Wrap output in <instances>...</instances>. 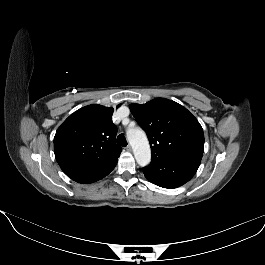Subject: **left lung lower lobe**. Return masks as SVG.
<instances>
[{"instance_id":"left-lung-lower-lobe-1","label":"left lung lower lobe","mask_w":265,"mask_h":265,"mask_svg":"<svg viewBox=\"0 0 265 265\" xmlns=\"http://www.w3.org/2000/svg\"><path fill=\"white\" fill-rule=\"evenodd\" d=\"M202 155H192L143 168L145 177L163 188H177L188 182L196 173Z\"/></svg>"}]
</instances>
